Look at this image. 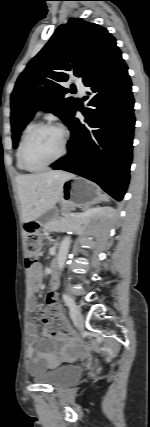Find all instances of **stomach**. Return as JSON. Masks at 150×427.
<instances>
[{
	"instance_id": "1",
	"label": "stomach",
	"mask_w": 150,
	"mask_h": 427,
	"mask_svg": "<svg viewBox=\"0 0 150 427\" xmlns=\"http://www.w3.org/2000/svg\"><path fill=\"white\" fill-rule=\"evenodd\" d=\"M102 198L100 190L91 182L78 177H72L63 184L60 204L63 210H70L75 207L90 206L99 202ZM56 211L50 212V217H54Z\"/></svg>"
}]
</instances>
